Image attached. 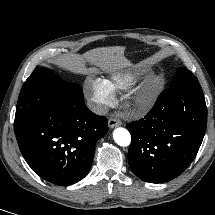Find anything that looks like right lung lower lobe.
<instances>
[{
    "label": "right lung lower lobe",
    "mask_w": 215,
    "mask_h": 215,
    "mask_svg": "<svg viewBox=\"0 0 215 215\" xmlns=\"http://www.w3.org/2000/svg\"><path fill=\"white\" fill-rule=\"evenodd\" d=\"M107 130L106 118L85 106L82 89L72 83L49 95L15 134L28 165L46 181L67 186L88 174L95 143Z\"/></svg>",
    "instance_id": "98d812e1"
}]
</instances>
